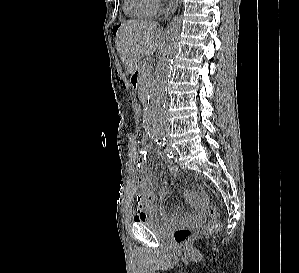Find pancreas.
<instances>
[{
  "label": "pancreas",
  "instance_id": "1",
  "mask_svg": "<svg viewBox=\"0 0 299 273\" xmlns=\"http://www.w3.org/2000/svg\"><path fill=\"white\" fill-rule=\"evenodd\" d=\"M139 73L141 79V87L140 90H145L149 84L151 78V67L145 61L139 64Z\"/></svg>",
  "mask_w": 299,
  "mask_h": 273
}]
</instances>
